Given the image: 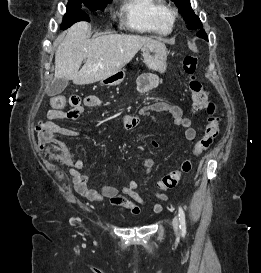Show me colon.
<instances>
[{"mask_svg": "<svg viewBox=\"0 0 261 273\" xmlns=\"http://www.w3.org/2000/svg\"><path fill=\"white\" fill-rule=\"evenodd\" d=\"M198 68V58L196 56H187L183 61V70L189 76L188 88L192 96V104L195 110L206 109L208 119L205 125L204 133L196 142L193 152L198 155L206 151L219 135L220 119L216 115V105L209 101L208 93L202 82L197 78L196 71ZM71 108L67 111V117L77 119L83 109V101L80 96L72 95L68 99ZM50 104L54 108L64 109L67 105V99L63 95H54L51 97ZM36 135L41 149L55 158L64 159L63 145L54 137L44 122L36 127ZM192 170L190 160H184L178 169L172 170L163 176L158 188L161 191H167L175 188L179 183L183 174H187Z\"/></svg>", "mask_w": 261, "mask_h": 273, "instance_id": "5ec220e1", "label": "colon"}]
</instances>
